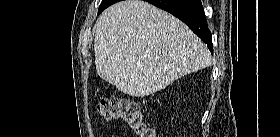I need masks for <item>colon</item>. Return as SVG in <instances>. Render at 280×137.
Here are the masks:
<instances>
[{
	"label": "colon",
	"instance_id": "1",
	"mask_svg": "<svg viewBox=\"0 0 280 137\" xmlns=\"http://www.w3.org/2000/svg\"><path fill=\"white\" fill-rule=\"evenodd\" d=\"M95 110L107 120H123L137 137H157L156 129L146 123L136 102L116 97L102 98L96 103Z\"/></svg>",
	"mask_w": 280,
	"mask_h": 137
}]
</instances>
